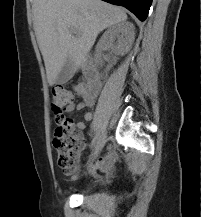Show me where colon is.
<instances>
[{
  "mask_svg": "<svg viewBox=\"0 0 202 217\" xmlns=\"http://www.w3.org/2000/svg\"><path fill=\"white\" fill-rule=\"evenodd\" d=\"M76 94L70 90L56 88L52 92L51 109L56 114L57 126L53 142L57 152L58 165L67 174H74L80 165V154L85 146L81 129L72 126L65 113L75 102Z\"/></svg>",
  "mask_w": 202,
  "mask_h": 217,
  "instance_id": "obj_1",
  "label": "colon"
}]
</instances>
